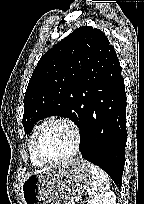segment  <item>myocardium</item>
<instances>
[{
  "instance_id": "1",
  "label": "myocardium",
  "mask_w": 144,
  "mask_h": 204,
  "mask_svg": "<svg viewBox=\"0 0 144 204\" xmlns=\"http://www.w3.org/2000/svg\"><path fill=\"white\" fill-rule=\"evenodd\" d=\"M53 124H62L67 126L71 130L73 139H74L73 147L70 153L59 159H47L40 153V150H39V142L42 134L49 126ZM81 142H82V135H81L80 127L73 119L69 117H64V116L53 117L48 121H46L45 123H43L41 127L38 129L34 140V154L36 158L44 164L64 163L71 160L78 154L81 147Z\"/></svg>"
}]
</instances>
